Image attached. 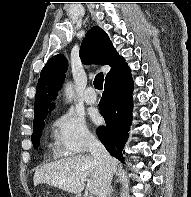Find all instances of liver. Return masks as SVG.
<instances>
[{
    "label": "liver",
    "mask_w": 191,
    "mask_h": 197,
    "mask_svg": "<svg viewBox=\"0 0 191 197\" xmlns=\"http://www.w3.org/2000/svg\"><path fill=\"white\" fill-rule=\"evenodd\" d=\"M116 169L117 160L113 158L114 172ZM87 177H90L89 192L97 196L103 180L101 165L92 155H76L43 165L35 171L33 181L34 185L46 183L69 193L80 194Z\"/></svg>",
    "instance_id": "obj_1"
}]
</instances>
